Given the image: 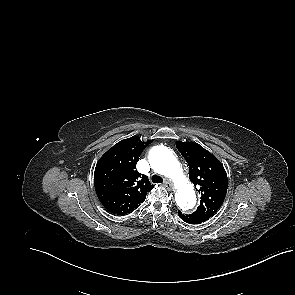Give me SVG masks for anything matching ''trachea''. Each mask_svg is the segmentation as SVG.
<instances>
[{"label": "trachea", "instance_id": "1", "mask_svg": "<svg viewBox=\"0 0 295 295\" xmlns=\"http://www.w3.org/2000/svg\"><path fill=\"white\" fill-rule=\"evenodd\" d=\"M151 180H152L153 183H162L163 182L162 177H160L158 175H153L151 177Z\"/></svg>", "mask_w": 295, "mask_h": 295}]
</instances>
